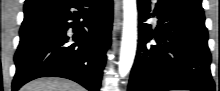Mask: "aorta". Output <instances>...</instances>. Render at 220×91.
I'll return each mask as SVG.
<instances>
[{"instance_id":"1","label":"aorta","mask_w":220,"mask_h":91,"mask_svg":"<svg viewBox=\"0 0 220 91\" xmlns=\"http://www.w3.org/2000/svg\"><path fill=\"white\" fill-rule=\"evenodd\" d=\"M123 32L119 59V74L125 77L134 62L137 45L136 0H123Z\"/></svg>"}]
</instances>
